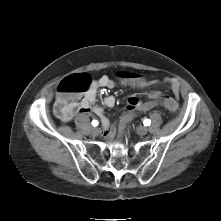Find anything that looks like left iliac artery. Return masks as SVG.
Segmentation results:
<instances>
[{
	"label": "left iliac artery",
	"instance_id": "44dca946",
	"mask_svg": "<svg viewBox=\"0 0 221 221\" xmlns=\"http://www.w3.org/2000/svg\"><path fill=\"white\" fill-rule=\"evenodd\" d=\"M143 123H144L145 126H149L150 123H151V120L150 119H145Z\"/></svg>",
	"mask_w": 221,
	"mask_h": 221
}]
</instances>
